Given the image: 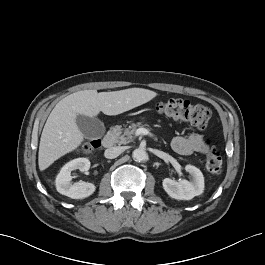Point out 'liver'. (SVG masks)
Returning <instances> with one entry per match:
<instances>
[{
    "instance_id": "obj_1",
    "label": "liver",
    "mask_w": 265,
    "mask_h": 265,
    "mask_svg": "<svg viewBox=\"0 0 265 265\" xmlns=\"http://www.w3.org/2000/svg\"><path fill=\"white\" fill-rule=\"evenodd\" d=\"M156 96V92L148 89L129 88L100 93L84 90L63 98L56 104L43 128L38 152L39 169L45 170L82 144L84 136L76 124L77 115L95 117L100 112L118 115Z\"/></svg>"
}]
</instances>
